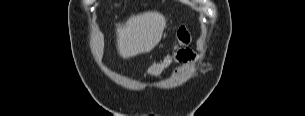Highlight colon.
Here are the masks:
<instances>
[{
	"instance_id": "1",
	"label": "colon",
	"mask_w": 305,
	"mask_h": 116,
	"mask_svg": "<svg viewBox=\"0 0 305 116\" xmlns=\"http://www.w3.org/2000/svg\"><path fill=\"white\" fill-rule=\"evenodd\" d=\"M191 42V34L186 26H180L176 30L175 43L171 52L160 62L153 64L147 72V75L151 78L158 77L163 70L173 61V59H179L185 55L187 46Z\"/></svg>"
}]
</instances>
